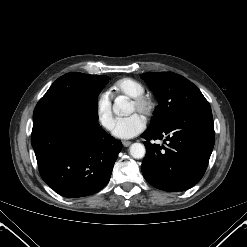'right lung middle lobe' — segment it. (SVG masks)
<instances>
[{
    "mask_svg": "<svg viewBox=\"0 0 247 247\" xmlns=\"http://www.w3.org/2000/svg\"><path fill=\"white\" fill-rule=\"evenodd\" d=\"M109 77L87 75L78 72L67 73L58 78L44 97L65 96L77 99H93L98 102V94L108 83Z\"/></svg>",
    "mask_w": 247,
    "mask_h": 247,
    "instance_id": "dd1d6c3e",
    "label": "right lung middle lobe"
}]
</instances>
